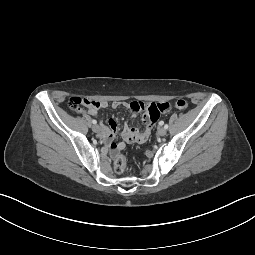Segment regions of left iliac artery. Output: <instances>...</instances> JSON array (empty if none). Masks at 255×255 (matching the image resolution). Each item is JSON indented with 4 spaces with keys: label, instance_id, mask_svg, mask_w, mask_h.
I'll return each mask as SVG.
<instances>
[{
    "label": "left iliac artery",
    "instance_id": "obj_1",
    "mask_svg": "<svg viewBox=\"0 0 255 255\" xmlns=\"http://www.w3.org/2000/svg\"><path fill=\"white\" fill-rule=\"evenodd\" d=\"M168 127H169L168 124H165V125H164V128H165V129H168Z\"/></svg>",
    "mask_w": 255,
    "mask_h": 255
}]
</instances>
